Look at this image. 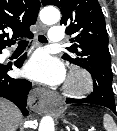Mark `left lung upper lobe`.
I'll return each mask as SVG.
<instances>
[{"label": "left lung upper lobe", "instance_id": "1", "mask_svg": "<svg viewBox=\"0 0 117 131\" xmlns=\"http://www.w3.org/2000/svg\"><path fill=\"white\" fill-rule=\"evenodd\" d=\"M42 4L57 6L63 15L60 24L67 25L66 33L74 36L70 39L74 44L62 58L87 69L94 86L112 90L108 34L98 1L42 0Z\"/></svg>", "mask_w": 117, "mask_h": 131}]
</instances>
